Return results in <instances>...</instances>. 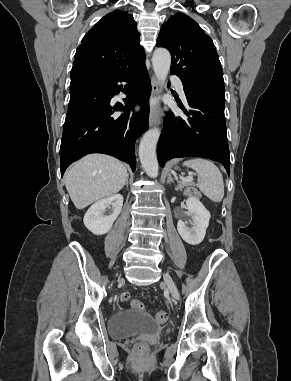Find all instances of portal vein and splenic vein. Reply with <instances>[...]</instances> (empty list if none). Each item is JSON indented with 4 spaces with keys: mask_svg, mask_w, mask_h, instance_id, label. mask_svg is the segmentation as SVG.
Segmentation results:
<instances>
[{
    "mask_svg": "<svg viewBox=\"0 0 291 381\" xmlns=\"http://www.w3.org/2000/svg\"><path fill=\"white\" fill-rule=\"evenodd\" d=\"M181 178L184 179V180H187V181L193 180V177H188L187 179L183 178V177H181Z\"/></svg>",
    "mask_w": 291,
    "mask_h": 381,
    "instance_id": "1",
    "label": "portal vein and splenic vein"
}]
</instances>
